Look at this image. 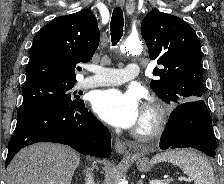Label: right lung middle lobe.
I'll use <instances>...</instances> for the list:
<instances>
[{
    "label": "right lung middle lobe",
    "mask_w": 224,
    "mask_h": 184,
    "mask_svg": "<svg viewBox=\"0 0 224 184\" xmlns=\"http://www.w3.org/2000/svg\"><path fill=\"white\" fill-rule=\"evenodd\" d=\"M75 83L64 84L50 81H40L25 84L22 89L23 103L17 113V118L25 112L48 105L75 106L82 102L74 95Z\"/></svg>",
    "instance_id": "dd1d6c3e"
}]
</instances>
